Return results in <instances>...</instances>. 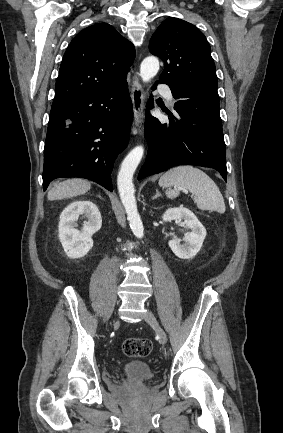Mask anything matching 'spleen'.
I'll list each match as a JSON object with an SVG mask.
<instances>
[{
	"instance_id": "obj_1",
	"label": "spleen",
	"mask_w": 283,
	"mask_h": 433,
	"mask_svg": "<svg viewBox=\"0 0 283 433\" xmlns=\"http://www.w3.org/2000/svg\"><path fill=\"white\" fill-rule=\"evenodd\" d=\"M160 186H183L192 192V196L201 210H217V212H225L226 206L224 198L216 186L214 180L205 174L200 168H193L190 164L186 166H175L167 170L161 178H159ZM179 190H166L168 198H176Z\"/></svg>"
}]
</instances>
